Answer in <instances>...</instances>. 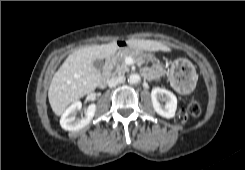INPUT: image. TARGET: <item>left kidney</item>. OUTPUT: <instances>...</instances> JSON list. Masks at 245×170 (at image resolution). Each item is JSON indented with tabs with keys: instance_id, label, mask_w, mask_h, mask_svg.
<instances>
[{
	"instance_id": "left-kidney-1",
	"label": "left kidney",
	"mask_w": 245,
	"mask_h": 170,
	"mask_svg": "<svg viewBox=\"0 0 245 170\" xmlns=\"http://www.w3.org/2000/svg\"><path fill=\"white\" fill-rule=\"evenodd\" d=\"M151 100L153 108L157 114L165 118H173L177 109L176 96L163 88L155 87L151 91ZM159 100L165 101V105H162Z\"/></svg>"
}]
</instances>
